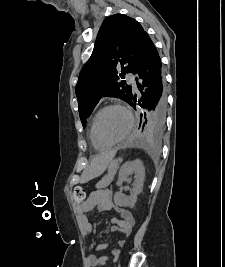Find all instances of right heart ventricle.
I'll use <instances>...</instances> for the list:
<instances>
[{
  "mask_svg": "<svg viewBox=\"0 0 225 267\" xmlns=\"http://www.w3.org/2000/svg\"><path fill=\"white\" fill-rule=\"evenodd\" d=\"M99 111L100 110H96L94 112V114L92 115V117H91V120H90V123H89V128H88V136H89V139H90V142H91L92 146L97 150H102V149L108 148L109 146H106V145L98 142L96 140V138H95L94 130H93L94 120H95L97 114L99 113Z\"/></svg>",
  "mask_w": 225,
  "mask_h": 267,
  "instance_id": "e07e8e85",
  "label": "right heart ventricle"
}]
</instances>
